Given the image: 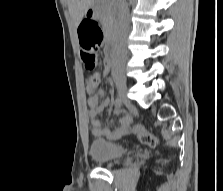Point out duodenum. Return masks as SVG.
I'll return each mask as SVG.
<instances>
[{
	"label": "duodenum",
	"mask_w": 223,
	"mask_h": 191,
	"mask_svg": "<svg viewBox=\"0 0 223 191\" xmlns=\"http://www.w3.org/2000/svg\"><path fill=\"white\" fill-rule=\"evenodd\" d=\"M95 15H96L95 7H89L86 11V16L88 18H93ZM113 49H114L113 41L112 39H108L107 48H106V56L110 60V62H112Z\"/></svg>",
	"instance_id": "obj_1"
}]
</instances>
